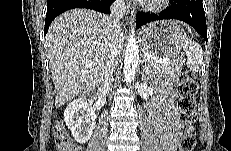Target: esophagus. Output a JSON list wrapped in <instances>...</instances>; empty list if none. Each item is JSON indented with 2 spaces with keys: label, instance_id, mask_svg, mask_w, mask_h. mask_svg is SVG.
<instances>
[{
  "label": "esophagus",
  "instance_id": "esophagus-1",
  "mask_svg": "<svg viewBox=\"0 0 231 151\" xmlns=\"http://www.w3.org/2000/svg\"><path fill=\"white\" fill-rule=\"evenodd\" d=\"M134 17H135V8L130 2H127L125 18L128 22H130L134 19Z\"/></svg>",
  "mask_w": 231,
  "mask_h": 151
}]
</instances>
